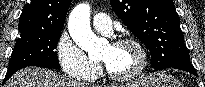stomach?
<instances>
[{
    "mask_svg": "<svg viewBox=\"0 0 205 87\" xmlns=\"http://www.w3.org/2000/svg\"><path fill=\"white\" fill-rule=\"evenodd\" d=\"M125 87H179V83L173 76L153 73L141 76Z\"/></svg>",
    "mask_w": 205,
    "mask_h": 87,
    "instance_id": "0dacf381",
    "label": "stomach"
}]
</instances>
